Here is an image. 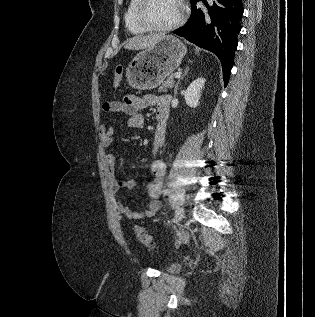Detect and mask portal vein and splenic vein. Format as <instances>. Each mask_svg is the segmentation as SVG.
<instances>
[{
  "label": "portal vein and splenic vein",
  "mask_w": 315,
  "mask_h": 317,
  "mask_svg": "<svg viewBox=\"0 0 315 317\" xmlns=\"http://www.w3.org/2000/svg\"><path fill=\"white\" fill-rule=\"evenodd\" d=\"M180 76H181V72H177V73L174 74L175 78H180Z\"/></svg>",
  "instance_id": "1"
}]
</instances>
